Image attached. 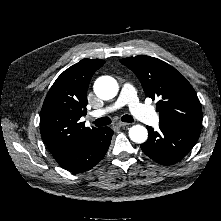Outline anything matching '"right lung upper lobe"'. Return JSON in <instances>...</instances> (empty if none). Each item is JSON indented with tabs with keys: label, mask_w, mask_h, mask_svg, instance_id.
<instances>
[{
	"label": "right lung upper lobe",
	"mask_w": 221,
	"mask_h": 221,
	"mask_svg": "<svg viewBox=\"0 0 221 221\" xmlns=\"http://www.w3.org/2000/svg\"><path fill=\"white\" fill-rule=\"evenodd\" d=\"M99 59H82L65 70L50 88L40 113L42 138L57 160L71 153L100 128L85 127L87 90L92 75L103 66Z\"/></svg>",
	"instance_id": "1"
}]
</instances>
